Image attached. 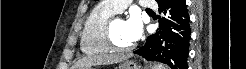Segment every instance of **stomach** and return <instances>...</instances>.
Wrapping results in <instances>:
<instances>
[{"instance_id":"obj_1","label":"stomach","mask_w":246,"mask_h":69,"mask_svg":"<svg viewBox=\"0 0 246 69\" xmlns=\"http://www.w3.org/2000/svg\"><path fill=\"white\" fill-rule=\"evenodd\" d=\"M85 69H92V68L90 67ZM119 69H142V68L135 61L127 60L120 66Z\"/></svg>"}]
</instances>
